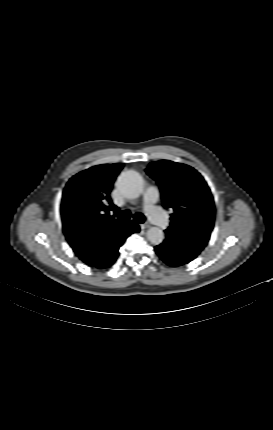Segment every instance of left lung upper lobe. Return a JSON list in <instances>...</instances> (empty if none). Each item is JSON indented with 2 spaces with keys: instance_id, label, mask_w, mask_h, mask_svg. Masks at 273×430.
<instances>
[{
  "instance_id": "left-lung-upper-lobe-1",
  "label": "left lung upper lobe",
  "mask_w": 273,
  "mask_h": 430,
  "mask_svg": "<svg viewBox=\"0 0 273 430\" xmlns=\"http://www.w3.org/2000/svg\"><path fill=\"white\" fill-rule=\"evenodd\" d=\"M146 172L158 183L163 206L174 210L166 234L182 255L196 258L207 245L215 220L207 183L192 167L169 160L152 162Z\"/></svg>"
}]
</instances>
